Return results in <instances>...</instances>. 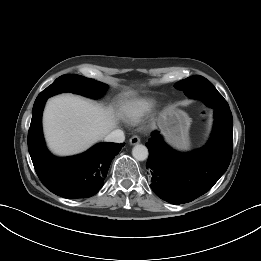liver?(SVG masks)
I'll return each mask as SVG.
<instances>
[{"mask_svg": "<svg viewBox=\"0 0 261 261\" xmlns=\"http://www.w3.org/2000/svg\"><path fill=\"white\" fill-rule=\"evenodd\" d=\"M133 94V92H130ZM122 111L105 108L74 95L48 100L43 113V129L50 150L60 156L81 153L117 127Z\"/></svg>", "mask_w": 261, "mask_h": 261, "instance_id": "liver-1", "label": "liver"}]
</instances>
